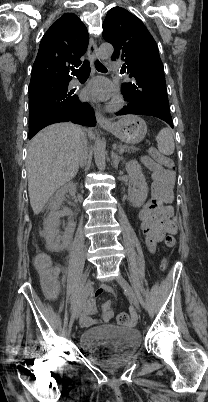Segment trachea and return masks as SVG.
I'll return each instance as SVG.
<instances>
[{
  "mask_svg": "<svg viewBox=\"0 0 208 402\" xmlns=\"http://www.w3.org/2000/svg\"><path fill=\"white\" fill-rule=\"evenodd\" d=\"M95 66L99 72H107L106 67H104V65H102V63L97 60L95 61ZM90 71V62L88 60H85L80 68H78L77 70H72V75H76V77L78 78H84L89 76Z\"/></svg>",
  "mask_w": 208,
  "mask_h": 402,
  "instance_id": "trachea-1",
  "label": "trachea"
}]
</instances>
